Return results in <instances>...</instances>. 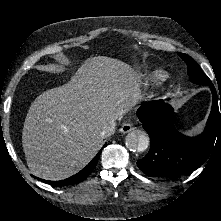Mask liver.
<instances>
[{"mask_svg":"<svg viewBox=\"0 0 221 221\" xmlns=\"http://www.w3.org/2000/svg\"><path fill=\"white\" fill-rule=\"evenodd\" d=\"M139 80L127 63L98 56L85 61L67 84L39 95L22 132L30 172L57 181L87 165L102 146L104 126L139 101Z\"/></svg>","mask_w":221,"mask_h":221,"instance_id":"obj_1","label":"liver"}]
</instances>
